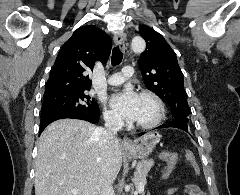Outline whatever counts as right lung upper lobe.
<instances>
[{"label":"right lung upper lobe","mask_w":240,"mask_h":195,"mask_svg":"<svg viewBox=\"0 0 240 195\" xmlns=\"http://www.w3.org/2000/svg\"><path fill=\"white\" fill-rule=\"evenodd\" d=\"M111 52V40L101 29L89 25L77 29L61 47L51 69L44 95L91 87L87 73L96 60L105 63Z\"/></svg>","instance_id":"obj_1"}]
</instances>
